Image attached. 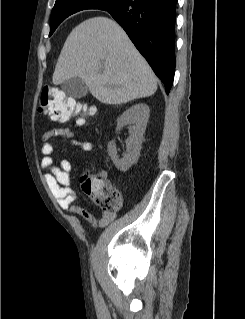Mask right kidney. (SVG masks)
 Returning a JSON list of instances; mask_svg holds the SVG:
<instances>
[{
	"mask_svg": "<svg viewBox=\"0 0 245 319\" xmlns=\"http://www.w3.org/2000/svg\"><path fill=\"white\" fill-rule=\"evenodd\" d=\"M149 113L148 105L139 103L130 107L118 118L117 131H120L126 125H130L129 137L126 140V154L123 158L120 159L117 155L115 141L112 140L108 143V154L118 170L127 171L139 158Z\"/></svg>",
	"mask_w": 245,
	"mask_h": 319,
	"instance_id": "obj_1",
	"label": "right kidney"
}]
</instances>
